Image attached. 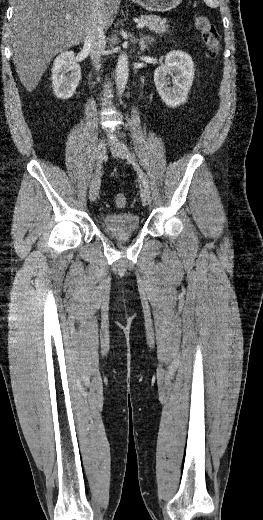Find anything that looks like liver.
<instances>
[{"label": "liver", "mask_w": 263, "mask_h": 520, "mask_svg": "<svg viewBox=\"0 0 263 520\" xmlns=\"http://www.w3.org/2000/svg\"><path fill=\"white\" fill-rule=\"evenodd\" d=\"M93 8L100 11L107 29L117 14L118 0H100L98 5L95 0H13V62L27 91L38 85L56 54L84 40Z\"/></svg>", "instance_id": "liver-1"}]
</instances>
